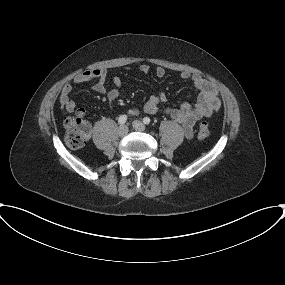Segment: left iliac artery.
I'll use <instances>...</instances> for the list:
<instances>
[{"label":"left iliac artery","mask_w":285,"mask_h":285,"mask_svg":"<svg viewBox=\"0 0 285 285\" xmlns=\"http://www.w3.org/2000/svg\"><path fill=\"white\" fill-rule=\"evenodd\" d=\"M150 121H151V120H150L149 117H144V118H143V123H144V124H147V125H148V124L150 123Z\"/></svg>","instance_id":"44dca946"}]
</instances>
